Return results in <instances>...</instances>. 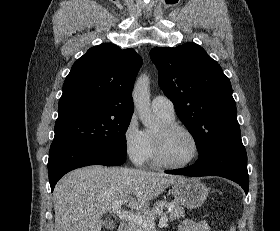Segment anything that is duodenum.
<instances>
[{
  "instance_id": "duodenum-1",
  "label": "duodenum",
  "mask_w": 280,
  "mask_h": 231,
  "mask_svg": "<svg viewBox=\"0 0 280 231\" xmlns=\"http://www.w3.org/2000/svg\"><path fill=\"white\" fill-rule=\"evenodd\" d=\"M117 231H130L128 222L122 221V222L118 225Z\"/></svg>"
}]
</instances>
